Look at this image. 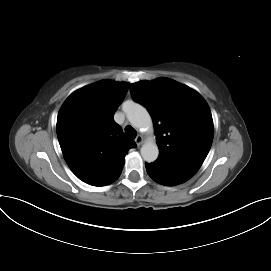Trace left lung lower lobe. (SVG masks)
Segmentation results:
<instances>
[{"label": "left lung lower lobe", "mask_w": 271, "mask_h": 271, "mask_svg": "<svg viewBox=\"0 0 271 271\" xmlns=\"http://www.w3.org/2000/svg\"><path fill=\"white\" fill-rule=\"evenodd\" d=\"M145 166L154 181L166 186L186 182L198 171L196 168L159 158L154 163H146Z\"/></svg>", "instance_id": "obj_1"}]
</instances>
